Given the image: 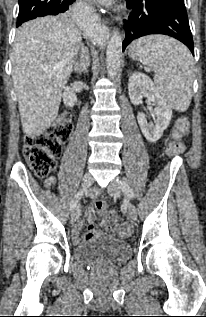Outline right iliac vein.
Masks as SVG:
<instances>
[{"label": "right iliac vein", "instance_id": "63e3f726", "mask_svg": "<svg viewBox=\"0 0 206 317\" xmlns=\"http://www.w3.org/2000/svg\"><path fill=\"white\" fill-rule=\"evenodd\" d=\"M93 183V177L91 174L86 173L83 176V180H82V188L83 189H88ZM80 216V207H76L75 210L72 213V220L73 222L77 221L79 219Z\"/></svg>", "mask_w": 206, "mask_h": 317}]
</instances>
